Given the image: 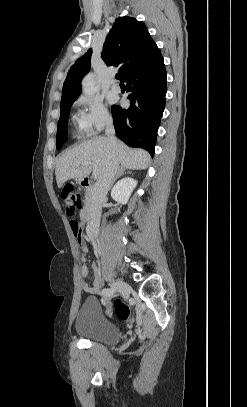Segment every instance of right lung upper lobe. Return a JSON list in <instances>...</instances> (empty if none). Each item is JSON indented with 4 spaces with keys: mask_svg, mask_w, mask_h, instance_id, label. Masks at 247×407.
<instances>
[{
    "mask_svg": "<svg viewBox=\"0 0 247 407\" xmlns=\"http://www.w3.org/2000/svg\"><path fill=\"white\" fill-rule=\"evenodd\" d=\"M92 49L80 57L68 71L62 90L61 104L76 100L81 81L90 70ZM161 56L145 24L135 18L119 17L113 24L103 46L102 59L107 65L119 66L121 80L134 69Z\"/></svg>",
    "mask_w": 247,
    "mask_h": 407,
    "instance_id": "right-lung-upper-lobe-1",
    "label": "right lung upper lobe"
}]
</instances>
